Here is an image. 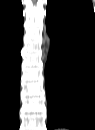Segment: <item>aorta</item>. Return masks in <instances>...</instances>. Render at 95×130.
<instances>
[{"mask_svg":"<svg viewBox=\"0 0 95 130\" xmlns=\"http://www.w3.org/2000/svg\"><path fill=\"white\" fill-rule=\"evenodd\" d=\"M44 42L46 44V50H47V52H49L50 48H51V39L48 34L44 35Z\"/></svg>","mask_w":95,"mask_h":130,"instance_id":"1","label":"aorta"}]
</instances>
